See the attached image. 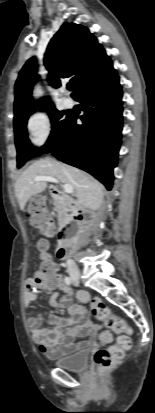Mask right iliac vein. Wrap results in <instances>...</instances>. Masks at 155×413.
<instances>
[{
    "instance_id": "1",
    "label": "right iliac vein",
    "mask_w": 155,
    "mask_h": 413,
    "mask_svg": "<svg viewBox=\"0 0 155 413\" xmlns=\"http://www.w3.org/2000/svg\"><path fill=\"white\" fill-rule=\"evenodd\" d=\"M71 276H72V279L74 280V281H78V280H80V278H81V274L79 273V272H72L71 273Z\"/></svg>"
}]
</instances>
